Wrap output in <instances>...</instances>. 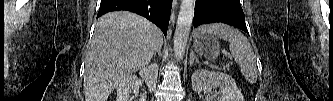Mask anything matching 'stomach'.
<instances>
[{
	"mask_svg": "<svg viewBox=\"0 0 333 101\" xmlns=\"http://www.w3.org/2000/svg\"><path fill=\"white\" fill-rule=\"evenodd\" d=\"M194 49L199 56L215 60L220 51V43L214 34L203 33L195 36Z\"/></svg>",
	"mask_w": 333,
	"mask_h": 101,
	"instance_id": "1",
	"label": "stomach"
}]
</instances>
